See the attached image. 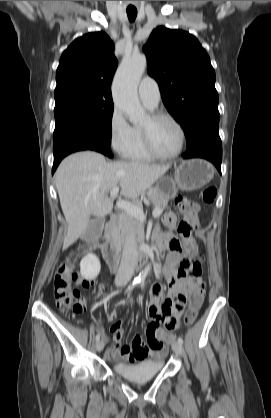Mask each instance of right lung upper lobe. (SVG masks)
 <instances>
[{
  "label": "right lung upper lobe",
  "mask_w": 271,
  "mask_h": 418,
  "mask_svg": "<svg viewBox=\"0 0 271 418\" xmlns=\"http://www.w3.org/2000/svg\"><path fill=\"white\" fill-rule=\"evenodd\" d=\"M116 68L113 43L106 33L77 38L60 58L55 102L73 98L112 101L111 82Z\"/></svg>",
  "instance_id": "1"
}]
</instances>
